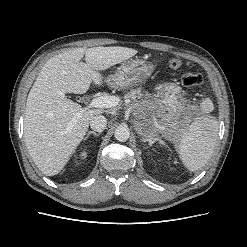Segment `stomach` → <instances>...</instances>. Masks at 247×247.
Listing matches in <instances>:
<instances>
[{
    "instance_id": "0dacf381",
    "label": "stomach",
    "mask_w": 247,
    "mask_h": 247,
    "mask_svg": "<svg viewBox=\"0 0 247 247\" xmlns=\"http://www.w3.org/2000/svg\"><path fill=\"white\" fill-rule=\"evenodd\" d=\"M154 65L142 59H129L123 62L106 83L115 88L135 86L150 76ZM154 106L146 103L136 113V130L143 138H152L161 133L167 138H179L182 131L179 112L185 106L182 89L175 83H163L157 89Z\"/></svg>"
}]
</instances>
